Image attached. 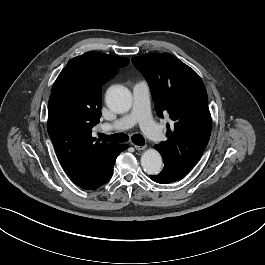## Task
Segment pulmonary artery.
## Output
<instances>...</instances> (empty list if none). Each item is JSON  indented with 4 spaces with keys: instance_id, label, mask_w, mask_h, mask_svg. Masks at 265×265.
<instances>
[{
    "instance_id": "pulmonary-artery-1",
    "label": "pulmonary artery",
    "mask_w": 265,
    "mask_h": 265,
    "mask_svg": "<svg viewBox=\"0 0 265 265\" xmlns=\"http://www.w3.org/2000/svg\"><path fill=\"white\" fill-rule=\"evenodd\" d=\"M133 106L131 111L113 123H104L102 130L123 131L139 124L143 132L155 141L163 138L161 128L153 121L150 115V91L146 81L137 82L132 89Z\"/></svg>"
}]
</instances>
